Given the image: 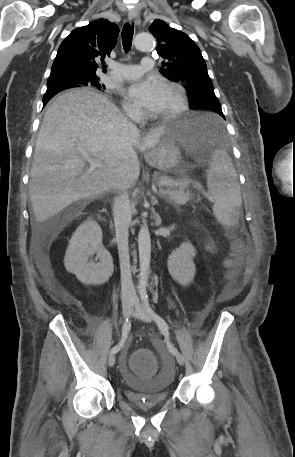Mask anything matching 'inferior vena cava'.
Instances as JSON below:
<instances>
[{"instance_id": "1", "label": "inferior vena cava", "mask_w": 295, "mask_h": 457, "mask_svg": "<svg viewBox=\"0 0 295 457\" xmlns=\"http://www.w3.org/2000/svg\"><path fill=\"white\" fill-rule=\"evenodd\" d=\"M129 117L134 121L137 120V115L128 113ZM127 187L124 184L119 185V195L115 197L113 204V215L116 230V239L118 246V254L121 270V292L123 298H135V288L132 281L130 270V257L128 247L129 223L131 221V208Z\"/></svg>"}]
</instances>
